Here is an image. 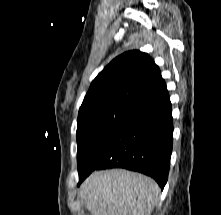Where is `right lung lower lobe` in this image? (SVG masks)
<instances>
[{
	"label": "right lung lower lobe",
	"mask_w": 221,
	"mask_h": 215,
	"mask_svg": "<svg viewBox=\"0 0 221 215\" xmlns=\"http://www.w3.org/2000/svg\"><path fill=\"white\" fill-rule=\"evenodd\" d=\"M173 118L168 91L136 106L107 137L84 171L125 168L152 177L164 188L172 153Z\"/></svg>",
	"instance_id": "obj_1"
}]
</instances>
